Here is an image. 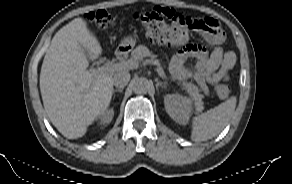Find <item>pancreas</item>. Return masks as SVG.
I'll return each instance as SVG.
<instances>
[{
	"instance_id": "obj_1",
	"label": "pancreas",
	"mask_w": 292,
	"mask_h": 184,
	"mask_svg": "<svg viewBox=\"0 0 292 184\" xmlns=\"http://www.w3.org/2000/svg\"><path fill=\"white\" fill-rule=\"evenodd\" d=\"M145 57H150L152 61L156 60V56L149 51V49L144 45L137 46L132 52V59L137 62L141 61ZM172 78L174 80L178 79L180 83H182V88L186 90V92L190 95L192 100L194 101L195 109L197 111L203 110V97L204 95L200 93V89L192 82H187L182 79L180 76L173 75Z\"/></svg>"
}]
</instances>
